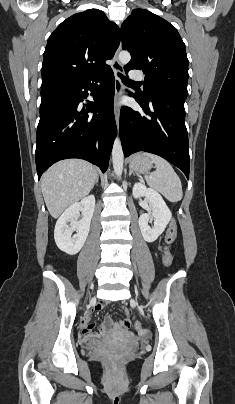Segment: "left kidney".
I'll return each mask as SVG.
<instances>
[{"instance_id": "obj_1", "label": "left kidney", "mask_w": 235, "mask_h": 404, "mask_svg": "<svg viewBox=\"0 0 235 404\" xmlns=\"http://www.w3.org/2000/svg\"><path fill=\"white\" fill-rule=\"evenodd\" d=\"M132 192L134 198L145 197L150 203L152 213L142 214L139 217L138 223L143 239L146 242L152 243L163 233L172 218V213L156 190L147 188L142 183H135ZM153 219L154 226L151 228L148 223Z\"/></svg>"}]
</instances>
